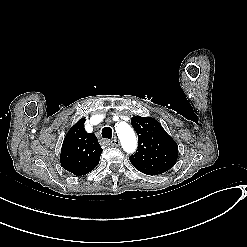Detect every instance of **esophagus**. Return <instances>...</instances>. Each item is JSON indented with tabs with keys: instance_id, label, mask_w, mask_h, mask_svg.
Instances as JSON below:
<instances>
[{
	"instance_id": "obj_1",
	"label": "esophagus",
	"mask_w": 247,
	"mask_h": 247,
	"mask_svg": "<svg viewBox=\"0 0 247 247\" xmlns=\"http://www.w3.org/2000/svg\"><path fill=\"white\" fill-rule=\"evenodd\" d=\"M119 143H120V142H119L118 139H114V140L111 141V145H112V146H118Z\"/></svg>"
}]
</instances>
